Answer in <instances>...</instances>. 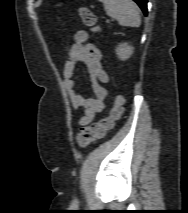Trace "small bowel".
<instances>
[{
	"label": "small bowel",
	"instance_id": "obj_1",
	"mask_svg": "<svg viewBox=\"0 0 188 213\" xmlns=\"http://www.w3.org/2000/svg\"><path fill=\"white\" fill-rule=\"evenodd\" d=\"M69 60L63 67L64 87L68 93L73 109L83 108L84 115L78 120V126L90 124L95 115L105 108L108 75L101 63L100 49L89 42L86 31L80 30L74 34L73 43L67 47ZM77 63L86 65L92 79L93 97L83 96L75 86L74 75Z\"/></svg>",
	"mask_w": 188,
	"mask_h": 213
}]
</instances>
